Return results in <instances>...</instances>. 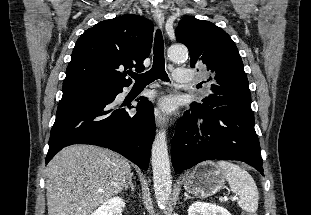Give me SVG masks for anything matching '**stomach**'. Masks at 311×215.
<instances>
[{"label":"stomach","instance_id":"stomach-1","mask_svg":"<svg viewBox=\"0 0 311 215\" xmlns=\"http://www.w3.org/2000/svg\"><path fill=\"white\" fill-rule=\"evenodd\" d=\"M225 180L222 170L214 162L208 161L193 169L184 180V188L198 198H206L222 189Z\"/></svg>","mask_w":311,"mask_h":215}]
</instances>
